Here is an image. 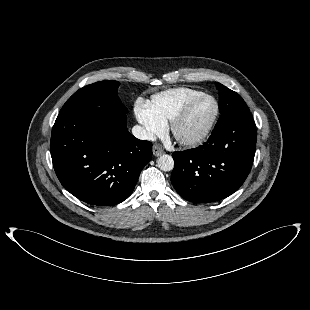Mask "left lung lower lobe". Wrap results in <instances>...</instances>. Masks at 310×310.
I'll return each instance as SVG.
<instances>
[{
    "label": "left lung lower lobe",
    "instance_id": "obj_1",
    "mask_svg": "<svg viewBox=\"0 0 310 310\" xmlns=\"http://www.w3.org/2000/svg\"><path fill=\"white\" fill-rule=\"evenodd\" d=\"M256 128L251 113L215 127L203 146L174 152L172 184L187 201L209 203L238 190L255 155Z\"/></svg>",
    "mask_w": 310,
    "mask_h": 310
}]
</instances>
